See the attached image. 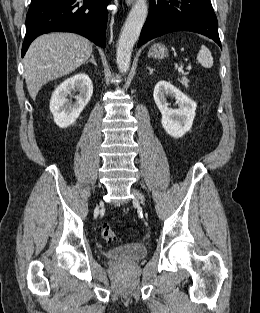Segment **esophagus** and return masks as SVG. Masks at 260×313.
<instances>
[{"label":"esophagus","instance_id":"34e87169","mask_svg":"<svg viewBox=\"0 0 260 313\" xmlns=\"http://www.w3.org/2000/svg\"><path fill=\"white\" fill-rule=\"evenodd\" d=\"M125 1L128 6L132 5L134 2V0H125Z\"/></svg>","mask_w":260,"mask_h":313}]
</instances>
